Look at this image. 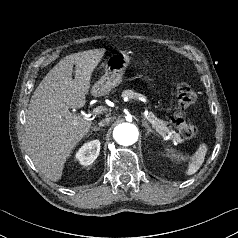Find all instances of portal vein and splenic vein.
<instances>
[{
    "label": "portal vein and splenic vein",
    "mask_w": 238,
    "mask_h": 238,
    "mask_svg": "<svg viewBox=\"0 0 238 238\" xmlns=\"http://www.w3.org/2000/svg\"><path fill=\"white\" fill-rule=\"evenodd\" d=\"M104 111H105V109H104L103 107H98V108H95V109L93 110V113H94V114H101V113H103ZM88 117H89V115H86V116H85V119H88ZM146 119H147L152 125H154V121L151 120V119L149 118V116H147ZM169 138H170L169 136L166 137V139H169Z\"/></svg>",
    "instance_id": "1"
}]
</instances>
